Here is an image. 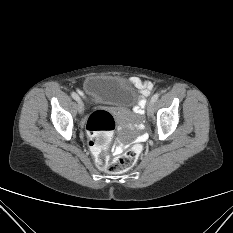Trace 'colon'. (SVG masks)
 <instances>
[{"label": "colon", "mask_w": 233, "mask_h": 233, "mask_svg": "<svg viewBox=\"0 0 233 233\" xmlns=\"http://www.w3.org/2000/svg\"><path fill=\"white\" fill-rule=\"evenodd\" d=\"M115 127L114 117L106 110L94 111L86 124L89 146L97 166L110 173L119 174L134 166L142 147L136 144L121 156L110 160L106 151V143L110 141Z\"/></svg>", "instance_id": "5ec220e1"}]
</instances>
